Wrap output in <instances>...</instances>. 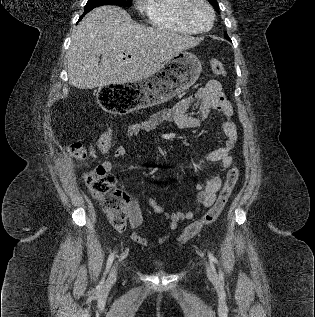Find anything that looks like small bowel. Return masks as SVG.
I'll return each instance as SVG.
<instances>
[{
	"instance_id": "small-bowel-1",
	"label": "small bowel",
	"mask_w": 315,
	"mask_h": 317,
	"mask_svg": "<svg viewBox=\"0 0 315 317\" xmlns=\"http://www.w3.org/2000/svg\"><path fill=\"white\" fill-rule=\"evenodd\" d=\"M196 102H200L199 114L197 116L188 113L189 108ZM211 110H217L224 115L225 122L223 124V130L227 140L223 146L204 154L202 158L205 161L217 162L222 168L227 169L232 164L231 152L237 143L238 131L232 119L233 109L224 97L221 91V85L218 81H209L197 92L181 99L174 106L157 112L149 120L129 125L126 134L128 137H135L141 133L154 130L159 124L165 121L174 122L179 128L183 129L194 128L200 125ZM126 153L127 148L125 146H119L114 151V157L120 158ZM101 165L108 172H110L113 167L112 163L108 160L104 161ZM221 183V177L214 175L204 185L200 183L194 185V189L197 191V207L194 211L168 213L165 212L164 207L161 206L155 198L149 197L148 204L151 209L155 213L163 215L168 220V232L157 241L145 238L136 231L143 222L142 212L135 198L123 192L128 201L129 222L133 230L131 233L132 241L147 248H153L156 245L163 244L169 238L170 232L176 230L180 221L192 219L195 212L201 207H210L214 203L216 193L220 189ZM149 190L151 191L152 188H149Z\"/></svg>"
}]
</instances>
